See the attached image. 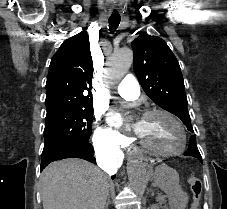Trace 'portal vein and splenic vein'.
I'll return each mask as SVG.
<instances>
[{
	"label": "portal vein and splenic vein",
	"instance_id": "portal-vein-and-splenic-vein-1",
	"mask_svg": "<svg viewBox=\"0 0 227 209\" xmlns=\"http://www.w3.org/2000/svg\"><path fill=\"white\" fill-rule=\"evenodd\" d=\"M166 196L164 194L160 195V198L158 199L160 202L165 198Z\"/></svg>",
	"mask_w": 227,
	"mask_h": 209
}]
</instances>
